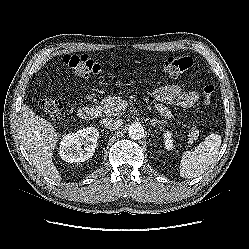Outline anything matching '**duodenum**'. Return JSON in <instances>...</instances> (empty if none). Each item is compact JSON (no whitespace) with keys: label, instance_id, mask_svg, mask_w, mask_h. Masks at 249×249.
<instances>
[{"label":"duodenum","instance_id":"obj_1","mask_svg":"<svg viewBox=\"0 0 249 249\" xmlns=\"http://www.w3.org/2000/svg\"><path fill=\"white\" fill-rule=\"evenodd\" d=\"M98 116V110L95 107H83L79 110V117L83 120L95 119Z\"/></svg>","mask_w":249,"mask_h":249}]
</instances>
